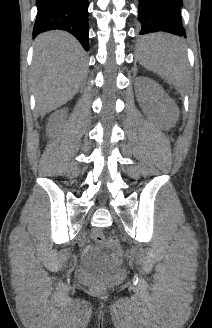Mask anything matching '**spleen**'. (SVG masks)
<instances>
[{"mask_svg":"<svg viewBox=\"0 0 212 328\" xmlns=\"http://www.w3.org/2000/svg\"><path fill=\"white\" fill-rule=\"evenodd\" d=\"M148 40L150 45L141 44L138 47L140 63L176 89L185 87L189 76L181 40L169 34L151 35Z\"/></svg>","mask_w":212,"mask_h":328,"instance_id":"obj_1","label":"spleen"}]
</instances>
